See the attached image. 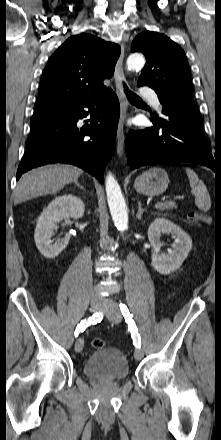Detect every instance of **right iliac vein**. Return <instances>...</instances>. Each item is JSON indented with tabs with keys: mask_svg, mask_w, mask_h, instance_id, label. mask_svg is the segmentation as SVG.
Returning <instances> with one entry per match:
<instances>
[{
	"mask_svg": "<svg viewBox=\"0 0 221 440\" xmlns=\"http://www.w3.org/2000/svg\"><path fill=\"white\" fill-rule=\"evenodd\" d=\"M101 308H102V302L99 301L98 299L92 297L91 302H90V310L92 312H96ZM83 347H84V340H83V338L80 337L77 339V341L75 343V351L81 352Z\"/></svg>",
	"mask_w": 221,
	"mask_h": 440,
	"instance_id": "right-iliac-vein-1",
	"label": "right iliac vein"
}]
</instances>
